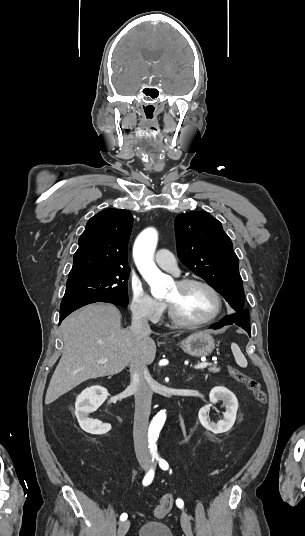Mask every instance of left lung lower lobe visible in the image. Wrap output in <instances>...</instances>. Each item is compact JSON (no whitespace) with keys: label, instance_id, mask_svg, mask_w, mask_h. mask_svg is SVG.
Wrapping results in <instances>:
<instances>
[{"label":"left lung lower lobe","instance_id":"obj_1","mask_svg":"<svg viewBox=\"0 0 305 536\" xmlns=\"http://www.w3.org/2000/svg\"><path fill=\"white\" fill-rule=\"evenodd\" d=\"M232 323H236V325L243 328L249 334V336H251V327L249 324V312L246 309L239 310L237 311V313L226 317L225 319H223L221 323L212 325V328L218 329L225 325H230Z\"/></svg>","mask_w":305,"mask_h":536}]
</instances>
